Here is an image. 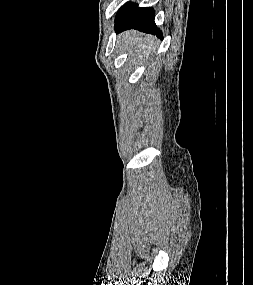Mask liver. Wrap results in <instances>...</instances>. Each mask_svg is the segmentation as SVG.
<instances>
[{
  "mask_svg": "<svg viewBox=\"0 0 253 285\" xmlns=\"http://www.w3.org/2000/svg\"><path fill=\"white\" fill-rule=\"evenodd\" d=\"M121 37L125 41L126 48H129L132 53L135 52L139 57L148 56L155 41L152 36L140 37L136 31H127Z\"/></svg>",
  "mask_w": 253,
  "mask_h": 285,
  "instance_id": "liver-1",
  "label": "liver"
}]
</instances>
